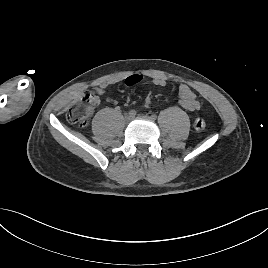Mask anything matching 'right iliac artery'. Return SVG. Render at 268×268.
<instances>
[{
	"label": "right iliac artery",
	"instance_id": "obj_1",
	"mask_svg": "<svg viewBox=\"0 0 268 268\" xmlns=\"http://www.w3.org/2000/svg\"><path fill=\"white\" fill-rule=\"evenodd\" d=\"M129 115H131V116H135L136 115V111L135 110H131V111H129Z\"/></svg>",
	"mask_w": 268,
	"mask_h": 268
}]
</instances>
